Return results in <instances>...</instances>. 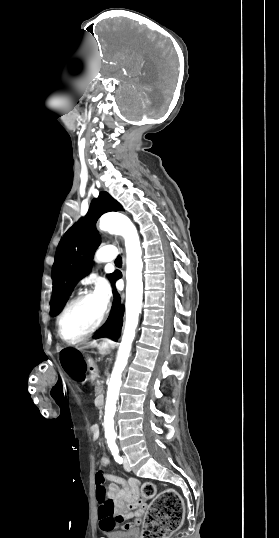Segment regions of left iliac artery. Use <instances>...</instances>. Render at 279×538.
Wrapping results in <instances>:
<instances>
[{"instance_id":"44dca946","label":"left iliac artery","mask_w":279,"mask_h":538,"mask_svg":"<svg viewBox=\"0 0 279 538\" xmlns=\"http://www.w3.org/2000/svg\"><path fill=\"white\" fill-rule=\"evenodd\" d=\"M112 455L114 456V459L117 463L121 464L123 462L122 457L119 455L118 449H112L111 450Z\"/></svg>"}]
</instances>
